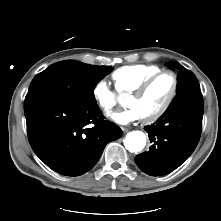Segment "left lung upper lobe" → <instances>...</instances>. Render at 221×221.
Here are the masks:
<instances>
[{"instance_id": "5c2ea615", "label": "left lung upper lobe", "mask_w": 221, "mask_h": 221, "mask_svg": "<svg viewBox=\"0 0 221 221\" xmlns=\"http://www.w3.org/2000/svg\"><path fill=\"white\" fill-rule=\"evenodd\" d=\"M174 66L180 70L177 83V95L171 102L168 109L186 99L187 96L196 92H200V86L195 75L191 71H187L186 68H184L178 62L170 64V67Z\"/></svg>"}]
</instances>
